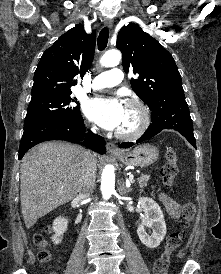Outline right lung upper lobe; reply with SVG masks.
<instances>
[{"label":"right lung upper lobe","instance_id":"right-lung-upper-lobe-1","mask_svg":"<svg viewBox=\"0 0 221 274\" xmlns=\"http://www.w3.org/2000/svg\"><path fill=\"white\" fill-rule=\"evenodd\" d=\"M95 51V31L87 34L82 24L63 34L42 55L34 74L32 98L72 93L75 76L83 77Z\"/></svg>","mask_w":221,"mask_h":274}]
</instances>
